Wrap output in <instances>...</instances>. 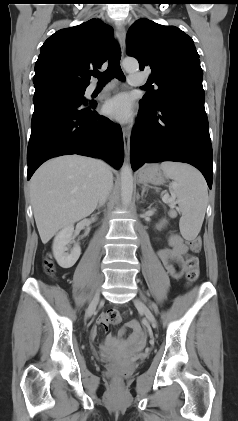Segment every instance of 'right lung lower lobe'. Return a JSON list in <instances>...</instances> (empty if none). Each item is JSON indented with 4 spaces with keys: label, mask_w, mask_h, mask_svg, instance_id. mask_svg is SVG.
Here are the masks:
<instances>
[{
    "label": "right lung lower lobe",
    "mask_w": 238,
    "mask_h": 421,
    "mask_svg": "<svg viewBox=\"0 0 238 421\" xmlns=\"http://www.w3.org/2000/svg\"><path fill=\"white\" fill-rule=\"evenodd\" d=\"M33 102L28 180L43 162L66 154L99 157L120 169L122 130L96 113V102H87L78 93L52 84L36 87Z\"/></svg>",
    "instance_id": "right-lung-lower-lobe-1"
}]
</instances>
